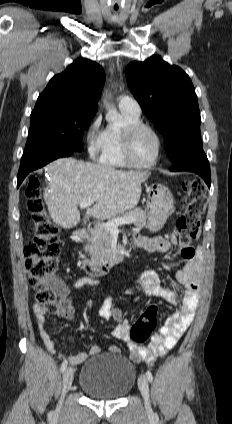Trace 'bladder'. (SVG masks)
Returning <instances> with one entry per match:
<instances>
[{"label":"bladder","mask_w":232,"mask_h":424,"mask_svg":"<svg viewBox=\"0 0 232 424\" xmlns=\"http://www.w3.org/2000/svg\"><path fill=\"white\" fill-rule=\"evenodd\" d=\"M136 381L135 366L120 354H97L87 360L80 372L79 387L96 399H121Z\"/></svg>","instance_id":"bladder-1"}]
</instances>
